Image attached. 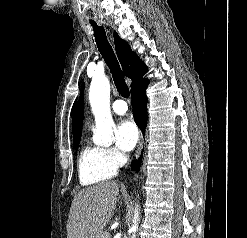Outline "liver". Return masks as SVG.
<instances>
[{
	"label": "liver",
	"mask_w": 247,
	"mask_h": 238,
	"mask_svg": "<svg viewBox=\"0 0 247 238\" xmlns=\"http://www.w3.org/2000/svg\"><path fill=\"white\" fill-rule=\"evenodd\" d=\"M119 184L115 181L87 187L73 199L67 238H100L113 216Z\"/></svg>",
	"instance_id": "1"
}]
</instances>
